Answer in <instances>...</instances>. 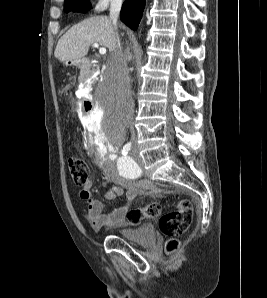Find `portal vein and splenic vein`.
<instances>
[{
    "mask_svg": "<svg viewBox=\"0 0 267 298\" xmlns=\"http://www.w3.org/2000/svg\"><path fill=\"white\" fill-rule=\"evenodd\" d=\"M93 47L98 48L99 44L98 43H93ZM99 53L102 54V55L106 54V48L105 47H100L99 48Z\"/></svg>",
    "mask_w": 267,
    "mask_h": 298,
    "instance_id": "portal-vein-and-splenic-vein-1",
    "label": "portal vein and splenic vein"
}]
</instances>
